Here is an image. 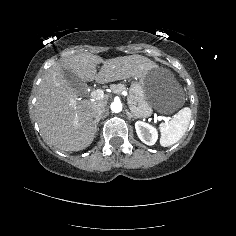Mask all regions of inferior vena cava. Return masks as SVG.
I'll return each mask as SVG.
<instances>
[{
  "instance_id": "1",
  "label": "inferior vena cava",
  "mask_w": 236,
  "mask_h": 236,
  "mask_svg": "<svg viewBox=\"0 0 236 236\" xmlns=\"http://www.w3.org/2000/svg\"><path fill=\"white\" fill-rule=\"evenodd\" d=\"M105 112V106L102 104H95L92 107V116L95 118L94 121H98V118Z\"/></svg>"
}]
</instances>
